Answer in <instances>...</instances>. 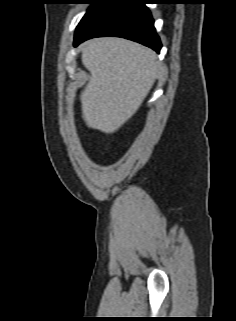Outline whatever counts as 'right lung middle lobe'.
Wrapping results in <instances>:
<instances>
[{
    "instance_id": "obj_1",
    "label": "right lung middle lobe",
    "mask_w": 236,
    "mask_h": 321,
    "mask_svg": "<svg viewBox=\"0 0 236 321\" xmlns=\"http://www.w3.org/2000/svg\"><path fill=\"white\" fill-rule=\"evenodd\" d=\"M110 0H87L85 3L92 4V6L88 9L84 17L81 19L80 23L76 28L75 34L86 24V22L93 17L96 12L101 9L107 2Z\"/></svg>"
}]
</instances>
